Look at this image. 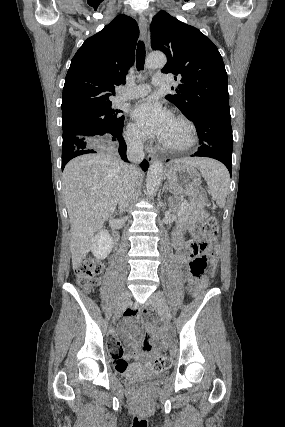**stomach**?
I'll return each instance as SVG.
<instances>
[{
	"label": "stomach",
	"instance_id": "0dacf381",
	"mask_svg": "<svg viewBox=\"0 0 285 427\" xmlns=\"http://www.w3.org/2000/svg\"><path fill=\"white\" fill-rule=\"evenodd\" d=\"M165 175L173 192L190 196L201 206L204 204L206 195L200 191V174L194 166L173 162L167 166Z\"/></svg>",
	"mask_w": 285,
	"mask_h": 427
}]
</instances>
